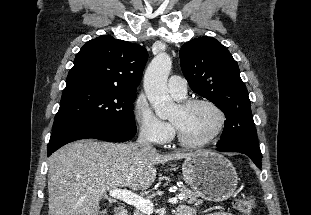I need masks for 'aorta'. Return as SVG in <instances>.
Returning <instances> with one entry per match:
<instances>
[{
	"instance_id": "aorta-1",
	"label": "aorta",
	"mask_w": 311,
	"mask_h": 215,
	"mask_svg": "<svg viewBox=\"0 0 311 215\" xmlns=\"http://www.w3.org/2000/svg\"><path fill=\"white\" fill-rule=\"evenodd\" d=\"M171 68V57L160 53L151 61L144 75L146 96L161 119L167 118L174 109V102L167 92V79Z\"/></svg>"
}]
</instances>
